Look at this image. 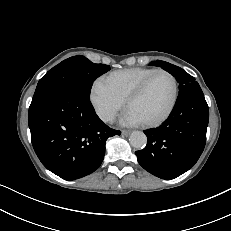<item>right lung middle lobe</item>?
<instances>
[{"label":"right lung middle lobe","instance_id":"right-lung-middle-lobe-1","mask_svg":"<svg viewBox=\"0 0 231 231\" xmlns=\"http://www.w3.org/2000/svg\"><path fill=\"white\" fill-rule=\"evenodd\" d=\"M110 70V66L92 63L84 56L70 57L51 70L38 82L31 104H36L59 88H69L90 97L93 82Z\"/></svg>","mask_w":231,"mask_h":231}]
</instances>
